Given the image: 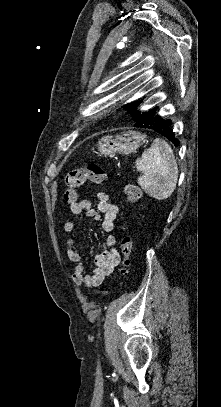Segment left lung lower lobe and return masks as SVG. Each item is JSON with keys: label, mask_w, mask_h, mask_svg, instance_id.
<instances>
[{"label": "left lung lower lobe", "mask_w": 221, "mask_h": 407, "mask_svg": "<svg viewBox=\"0 0 221 407\" xmlns=\"http://www.w3.org/2000/svg\"><path fill=\"white\" fill-rule=\"evenodd\" d=\"M157 107L148 110H139L135 117V127L152 129L162 136L168 138L175 146L179 144V140L175 138L171 129V120L163 119L156 115Z\"/></svg>", "instance_id": "obj_1"}]
</instances>
